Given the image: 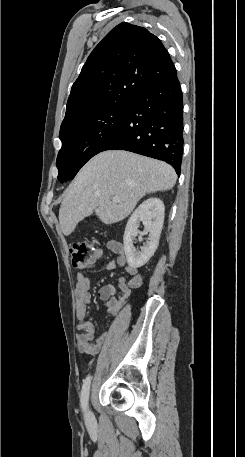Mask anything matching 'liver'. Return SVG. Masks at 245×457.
Wrapping results in <instances>:
<instances>
[{
	"instance_id": "liver-1",
	"label": "liver",
	"mask_w": 245,
	"mask_h": 457,
	"mask_svg": "<svg viewBox=\"0 0 245 457\" xmlns=\"http://www.w3.org/2000/svg\"><path fill=\"white\" fill-rule=\"evenodd\" d=\"M177 174L167 162L128 150H104L90 158L65 190L59 222L65 237L96 212L105 224L126 218L146 192L167 190ZM119 196V202H113Z\"/></svg>"
}]
</instances>
